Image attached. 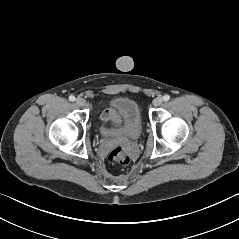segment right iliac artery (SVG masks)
Here are the masks:
<instances>
[{"instance_id":"right-iliac-artery-1","label":"right iliac artery","mask_w":239,"mask_h":239,"mask_svg":"<svg viewBox=\"0 0 239 239\" xmlns=\"http://www.w3.org/2000/svg\"><path fill=\"white\" fill-rule=\"evenodd\" d=\"M69 100L70 101H75V96H73V95L69 96Z\"/></svg>"}]
</instances>
